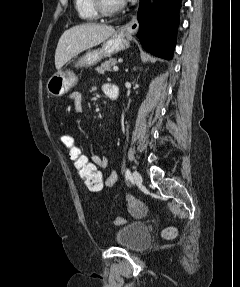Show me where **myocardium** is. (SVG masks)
Segmentation results:
<instances>
[{"label": "myocardium", "mask_w": 240, "mask_h": 287, "mask_svg": "<svg viewBox=\"0 0 240 287\" xmlns=\"http://www.w3.org/2000/svg\"><path fill=\"white\" fill-rule=\"evenodd\" d=\"M95 9L98 13L104 16H111L122 10L124 3L120 2L115 6L109 7L106 5L105 0H93Z\"/></svg>", "instance_id": "myocardium-1"}]
</instances>
